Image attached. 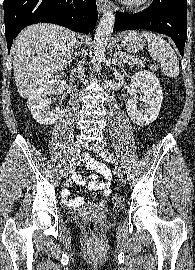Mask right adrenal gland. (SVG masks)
I'll return each instance as SVG.
<instances>
[{"instance_id":"1","label":"right adrenal gland","mask_w":195,"mask_h":270,"mask_svg":"<svg viewBox=\"0 0 195 270\" xmlns=\"http://www.w3.org/2000/svg\"><path fill=\"white\" fill-rule=\"evenodd\" d=\"M74 54H75V57H74V59H75L77 56L80 55V52L78 51V52H75ZM70 62H72V60H70Z\"/></svg>"}]
</instances>
